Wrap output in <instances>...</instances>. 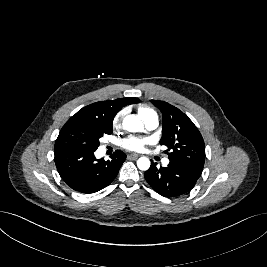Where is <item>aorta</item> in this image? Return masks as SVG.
Listing matches in <instances>:
<instances>
[{"label":"aorta","mask_w":267,"mask_h":267,"mask_svg":"<svg viewBox=\"0 0 267 267\" xmlns=\"http://www.w3.org/2000/svg\"><path fill=\"white\" fill-rule=\"evenodd\" d=\"M123 128L129 132H139L143 130V124L140 121V119L131 114L126 116L123 119ZM150 160L147 157H140L137 160V167L142 170V171H146L150 168Z\"/></svg>","instance_id":"obj_1"}]
</instances>
